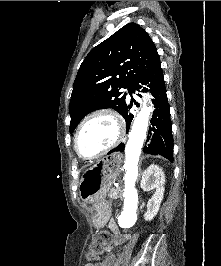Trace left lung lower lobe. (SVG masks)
I'll return each mask as SVG.
<instances>
[{
	"mask_svg": "<svg viewBox=\"0 0 221 266\" xmlns=\"http://www.w3.org/2000/svg\"><path fill=\"white\" fill-rule=\"evenodd\" d=\"M147 85L150 88V92L153 95V104L155 110L151 119V127L149 128L147 144L143 148V151L150 154H159L173 162V137H172V123L170 120V110L168 99L166 95V87L162 68L160 63L152 69L149 73L136 80L129 88V94L131 95L130 105H127L122 116L126 120L127 131L130 127L132 115L128 113L133 102L132 92L139 91L142 86ZM142 92H147L146 88H143ZM141 97L140 94H138ZM137 106L138 104L135 103ZM125 145L119 144L116 148L108 152V154L115 151L123 152Z\"/></svg>",
	"mask_w": 221,
	"mask_h": 266,
	"instance_id": "0a47b994",
	"label": "left lung lower lobe"
}]
</instances>
